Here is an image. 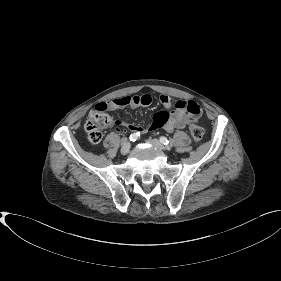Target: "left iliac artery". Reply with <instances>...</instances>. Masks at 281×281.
Returning a JSON list of instances; mask_svg holds the SVG:
<instances>
[{
    "instance_id": "left-iliac-artery-1",
    "label": "left iliac artery",
    "mask_w": 281,
    "mask_h": 281,
    "mask_svg": "<svg viewBox=\"0 0 281 281\" xmlns=\"http://www.w3.org/2000/svg\"><path fill=\"white\" fill-rule=\"evenodd\" d=\"M160 142L164 145H168V147L172 146V141L168 140L166 137L161 136L160 137Z\"/></svg>"
}]
</instances>
